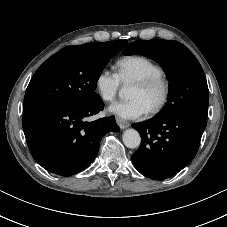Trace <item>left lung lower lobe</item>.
Listing matches in <instances>:
<instances>
[{"mask_svg":"<svg viewBox=\"0 0 227 227\" xmlns=\"http://www.w3.org/2000/svg\"><path fill=\"white\" fill-rule=\"evenodd\" d=\"M206 125V120L185 114L132 124L142 138L132 155L135 168L154 180L177 174L195 157Z\"/></svg>","mask_w":227,"mask_h":227,"instance_id":"1","label":"left lung lower lobe"}]
</instances>
